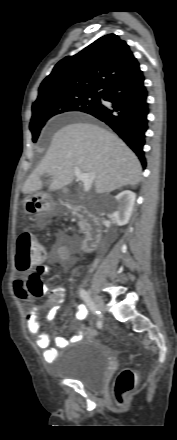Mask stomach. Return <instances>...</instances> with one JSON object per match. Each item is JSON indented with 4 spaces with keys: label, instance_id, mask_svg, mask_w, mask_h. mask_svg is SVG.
<instances>
[{
    "label": "stomach",
    "instance_id": "stomach-1",
    "mask_svg": "<svg viewBox=\"0 0 177 440\" xmlns=\"http://www.w3.org/2000/svg\"><path fill=\"white\" fill-rule=\"evenodd\" d=\"M26 214L35 218H44L59 212L58 204L45 193H35L29 195L23 203Z\"/></svg>",
    "mask_w": 177,
    "mask_h": 440
}]
</instances>
